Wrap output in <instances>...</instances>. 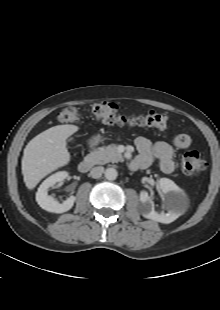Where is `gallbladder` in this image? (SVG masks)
<instances>
[{
    "instance_id": "1",
    "label": "gallbladder",
    "mask_w": 220,
    "mask_h": 310,
    "mask_svg": "<svg viewBox=\"0 0 220 310\" xmlns=\"http://www.w3.org/2000/svg\"><path fill=\"white\" fill-rule=\"evenodd\" d=\"M69 141H70V142H72V141H73V139L71 138V139H69Z\"/></svg>"
}]
</instances>
